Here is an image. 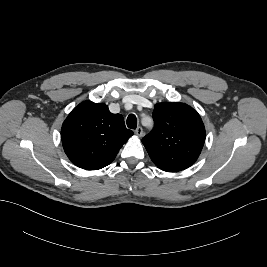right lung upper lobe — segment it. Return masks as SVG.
<instances>
[{"label":"right lung upper lobe","mask_w":267,"mask_h":267,"mask_svg":"<svg viewBox=\"0 0 267 267\" xmlns=\"http://www.w3.org/2000/svg\"><path fill=\"white\" fill-rule=\"evenodd\" d=\"M133 135L120 114L105 104L85 101L75 107L61 129L64 151L76 166L98 170L109 165Z\"/></svg>","instance_id":"obj_1"}]
</instances>
